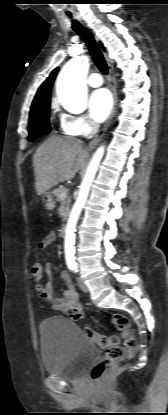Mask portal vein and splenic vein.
Listing matches in <instances>:
<instances>
[{
	"mask_svg": "<svg viewBox=\"0 0 168 415\" xmlns=\"http://www.w3.org/2000/svg\"><path fill=\"white\" fill-rule=\"evenodd\" d=\"M60 197H61V198H65V197H67V193H66V192H62V193H61V195H60Z\"/></svg>",
	"mask_w": 168,
	"mask_h": 415,
	"instance_id": "18ae733b",
	"label": "portal vein and splenic vein"
}]
</instances>
